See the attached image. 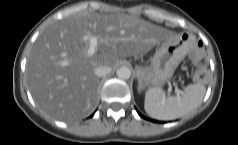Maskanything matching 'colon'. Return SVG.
I'll list each match as a JSON object with an SVG mask.
<instances>
[{
    "label": "colon",
    "mask_w": 238,
    "mask_h": 145,
    "mask_svg": "<svg viewBox=\"0 0 238 145\" xmlns=\"http://www.w3.org/2000/svg\"><path fill=\"white\" fill-rule=\"evenodd\" d=\"M192 62L196 66L195 79L198 82H204L208 76V71L205 68L206 63V52L204 45L199 41L196 45L195 50L192 53Z\"/></svg>",
    "instance_id": "1"
}]
</instances>
